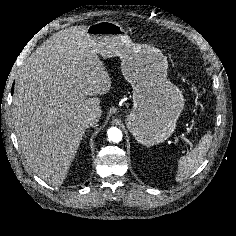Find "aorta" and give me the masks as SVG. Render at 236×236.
I'll use <instances>...</instances> for the list:
<instances>
[{
    "label": "aorta",
    "instance_id": "aorta-1",
    "mask_svg": "<svg viewBox=\"0 0 236 236\" xmlns=\"http://www.w3.org/2000/svg\"><path fill=\"white\" fill-rule=\"evenodd\" d=\"M107 135L110 141L114 143H119L122 140V132L117 127H111L107 131Z\"/></svg>",
    "mask_w": 236,
    "mask_h": 236
}]
</instances>
